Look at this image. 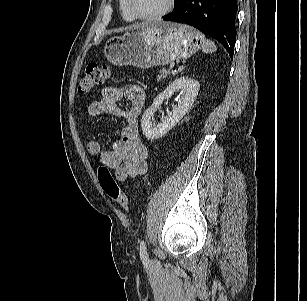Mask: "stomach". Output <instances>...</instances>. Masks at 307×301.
<instances>
[{
  "mask_svg": "<svg viewBox=\"0 0 307 301\" xmlns=\"http://www.w3.org/2000/svg\"><path fill=\"white\" fill-rule=\"evenodd\" d=\"M202 34L184 24L153 22L132 27L105 45L107 60L116 66L149 68L187 59L199 50Z\"/></svg>",
  "mask_w": 307,
  "mask_h": 301,
  "instance_id": "stomach-1",
  "label": "stomach"
}]
</instances>
